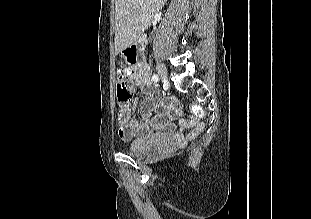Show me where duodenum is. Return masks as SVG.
Returning <instances> with one entry per match:
<instances>
[{
  "instance_id": "obj_1",
  "label": "duodenum",
  "mask_w": 311,
  "mask_h": 219,
  "mask_svg": "<svg viewBox=\"0 0 311 219\" xmlns=\"http://www.w3.org/2000/svg\"><path fill=\"white\" fill-rule=\"evenodd\" d=\"M146 42H147L146 37L142 35L128 49L130 55L134 57L135 62H137L138 64H140L144 60L143 52L146 46Z\"/></svg>"
}]
</instances>
